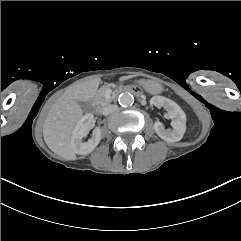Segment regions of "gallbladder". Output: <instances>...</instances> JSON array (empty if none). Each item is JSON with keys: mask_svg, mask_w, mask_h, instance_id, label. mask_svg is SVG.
Instances as JSON below:
<instances>
[{"mask_svg": "<svg viewBox=\"0 0 241 241\" xmlns=\"http://www.w3.org/2000/svg\"><path fill=\"white\" fill-rule=\"evenodd\" d=\"M78 103L80 104L83 110H87L89 108V104L86 102L79 101Z\"/></svg>", "mask_w": 241, "mask_h": 241, "instance_id": "gallbladder-1", "label": "gallbladder"}]
</instances>
